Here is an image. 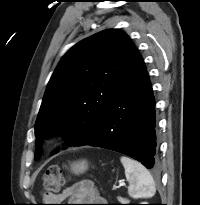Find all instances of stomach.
Returning a JSON list of instances; mask_svg holds the SVG:
<instances>
[{"label":"stomach","instance_id":"0dacf381","mask_svg":"<svg viewBox=\"0 0 200 205\" xmlns=\"http://www.w3.org/2000/svg\"><path fill=\"white\" fill-rule=\"evenodd\" d=\"M87 168H88V165H87V162L85 160H80L77 162H73L71 164V170L75 174L83 173L87 170Z\"/></svg>","mask_w":200,"mask_h":205}]
</instances>
